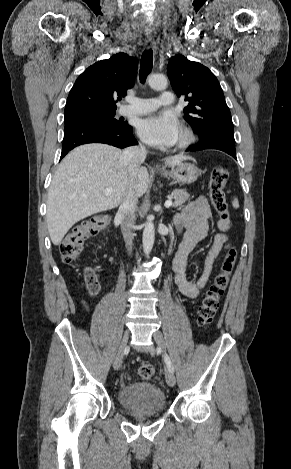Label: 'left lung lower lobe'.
<instances>
[{"mask_svg":"<svg viewBox=\"0 0 291 469\" xmlns=\"http://www.w3.org/2000/svg\"><path fill=\"white\" fill-rule=\"evenodd\" d=\"M203 149H218L237 159L234 136L212 135L205 139L199 140L197 145L189 147L186 151H197Z\"/></svg>","mask_w":291,"mask_h":469,"instance_id":"left-lung-lower-lobe-1","label":"left lung lower lobe"}]
</instances>
